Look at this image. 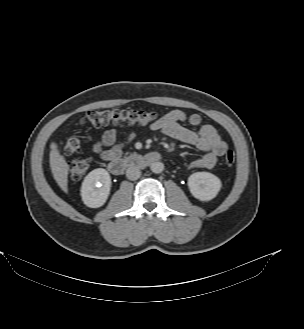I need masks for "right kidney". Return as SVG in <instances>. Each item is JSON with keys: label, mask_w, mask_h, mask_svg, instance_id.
I'll use <instances>...</instances> for the list:
<instances>
[{"label": "right kidney", "mask_w": 304, "mask_h": 329, "mask_svg": "<svg viewBox=\"0 0 304 329\" xmlns=\"http://www.w3.org/2000/svg\"><path fill=\"white\" fill-rule=\"evenodd\" d=\"M111 189L109 173L103 168L92 170L82 182L81 197L90 208L101 207L107 200Z\"/></svg>", "instance_id": "right-kidney-1"}]
</instances>
